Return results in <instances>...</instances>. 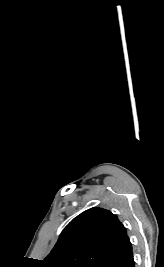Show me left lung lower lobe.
<instances>
[{"instance_id": "0a47b994", "label": "left lung lower lobe", "mask_w": 164, "mask_h": 267, "mask_svg": "<svg viewBox=\"0 0 164 267\" xmlns=\"http://www.w3.org/2000/svg\"><path fill=\"white\" fill-rule=\"evenodd\" d=\"M102 267H135L132 246L127 234L107 258Z\"/></svg>"}]
</instances>
